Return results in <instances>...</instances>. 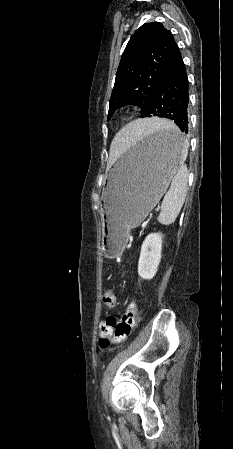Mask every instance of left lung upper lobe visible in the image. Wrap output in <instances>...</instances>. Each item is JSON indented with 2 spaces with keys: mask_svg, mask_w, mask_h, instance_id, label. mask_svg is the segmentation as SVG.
Returning a JSON list of instances; mask_svg holds the SVG:
<instances>
[{
  "mask_svg": "<svg viewBox=\"0 0 233 449\" xmlns=\"http://www.w3.org/2000/svg\"><path fill=\"white\" fill-rule=\"evenodd\" d=\"M172 33L159 22L143 24L131 36L116 73L108 119L121 106L141 107L143 117L163 78L181 60Z\"/></svg>",
  "mask_w": 233,
  "mask_h": 449,
  "instance_id": "obj_1",
  "label": "left lung upper lobe"
}]
</instances>
